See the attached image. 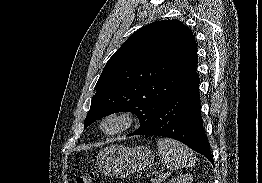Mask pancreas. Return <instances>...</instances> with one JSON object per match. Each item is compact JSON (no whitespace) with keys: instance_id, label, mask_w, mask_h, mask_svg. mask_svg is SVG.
<instances>
[{"instance_id":"1","label":"pancreas","mask_w":262,"mask_h":183,"mask_svg":"<svg viewBox=\"0 0 262 183\" xmlns=\"http://www.w3.org/2000/svg\"><path fill=\"white\" fill-rule=\"evenodd\" d=\"M162 176H164V178H159L158 180L152 179L151 183H161V182H163L166 179V177H165V175H162Z\"/></svg>"}]
</instances>
